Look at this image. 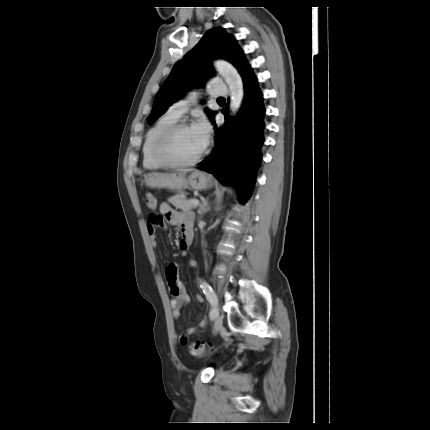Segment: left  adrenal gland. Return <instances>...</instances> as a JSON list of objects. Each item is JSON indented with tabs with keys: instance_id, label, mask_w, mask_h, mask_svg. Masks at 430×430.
Segmentation results:
<instances>
[{
	"instance_id": "left-adrenal-gland-1",
	"label": "left adrenal gland",
	"mask_w": 430,
	"mask_h": 430,
	"mask_svg": "<svg viewBox=\"0 0 430 430\" xmlns=\"http://www.w3.org/2000/svg\"><path fill=\"white\" fill-rule=\"evenodd\" d=\"M206 205H207V202L205 201L202 205H201V208H200V210H201V212H200V215L202 216L203 215V213L205 212V210H206Z\"/></svg>"
}]
</instances>
